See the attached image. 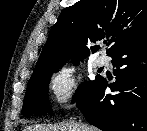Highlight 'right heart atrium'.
Instances as JSON below:
<instances>
[{
    "label": "right heart atrium",
    "mask_w": 147,
    "mask_h": 131,
    "mask_svg": "<svg viewBox=\"0 0 147 131\" xmlns=\"http://www.w3.org/2000/svg\"><path fill=\"white\" fill-rule=\"evenodd\" d=\"M49 88L54 104L58 107H67L75 99L79 80L72 69H60L54 72L49 81Z\"/></svg>",
    "instance_id": "obj_1"
}]
</instances>
